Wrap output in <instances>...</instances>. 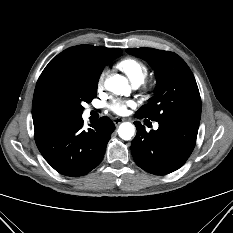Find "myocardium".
<instances>
[{"label":"myocardium","mask_w":233,"mask_h":233,"mask_svg":"<svg viewBox=\"0 0 233 233\" xmlns=\"http://www.w3.org/2000/svg\"><path fill=\"white\" fill-rule=\"evenodd\" d=\"M144 88L148 90L150 88V86L149 85H145Z\"/></svg>","instance_id":"obj_1"}]
</instances>
